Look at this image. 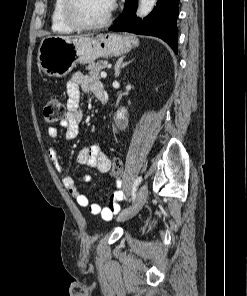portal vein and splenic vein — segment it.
<instances>
[{
	"instance_id": "obj_1",
	"label": "portal vein and splenic vein",
	"mask_w": 247,
	"mask_h": 296,
	"mask_svg": "<svg viewBox=\"0 0 247 296\" xmlns=\"http://www.w3.org/2000/svg\"><path fill=\"white\" fill-rule=\"evenodd\" d=\"M100 75H101L102 78H106L107 77V73L106 72H101Z\"/></svg>"
}]
</instances>
